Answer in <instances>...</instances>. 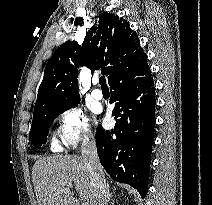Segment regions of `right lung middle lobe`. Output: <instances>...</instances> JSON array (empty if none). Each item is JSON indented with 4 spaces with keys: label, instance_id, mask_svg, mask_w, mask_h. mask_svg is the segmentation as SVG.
<instances>
[{
    "label": "right lung middle lobe",
    "instance_id": "obj_1",
    "mask_svg": "<svg viewBox=\"0 0 212 205\" xmlns=\"http://www.w3.org/2000/svg\"><path fill=\"white\" fill-rule=\"evenodd\" d=\"M79 102L80 100L65 106L45 105L35 109L30 133L32 143L37 148L46 143L47 134L53 120L67 109L76 107Z\"/></svg>",
    "mask_w": 212,
    "mask_h": 205
}]
</instances>
